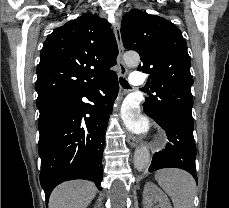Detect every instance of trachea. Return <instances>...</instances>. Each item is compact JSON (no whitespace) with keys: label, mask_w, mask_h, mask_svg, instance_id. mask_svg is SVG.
<instances>
[{"label":"trachea","mask_w":229,"mask_h":208,"mask_svg":"<svg viewBox=\"0 0 229 208\" xmlns=\"http://www.w3.org/2000/svg\"><path fill=\"white\" fill-rule=\"evenodd\" d=\"M119 82L123 88H130L129 83L127 82V80H125V78L120 77Z\"/></svg>","instance_id":"trachea-1"}]
</instances>
